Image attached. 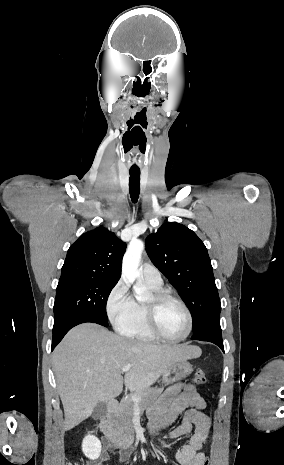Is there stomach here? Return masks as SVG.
Returning a JSON list of instances; mask_svg holds the SVG:
<instances>
[{"mask_svg":"<svg viewBox=\"0 0 284 465\" xmlns=\"http://www.w3.org/2000/svg\"><path fill=\"white\" fill-rule=\"evenodd\" d=\"M193 371V365H190L188 361H179L175 363L173 367L167 369L163 375V383L165 385H172L176 381H181V379H186L190 373Z\"/></svg>","mask_w":284,"mask_h":465,"instance_id":"obj_1","label":"stomach"}]
</instances>
